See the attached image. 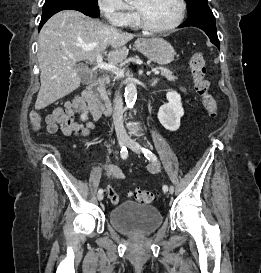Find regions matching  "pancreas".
<instances>
[{
	"instance_id": "pancreas-1",
	"label": "pancreas",
	"mask_w": 261,
	"mask_h": 273,
	"mask_svg": "<svg viewBox=\"0 0 261 273\" xmlns=\"http://www.w3.org/2000/svg\"><path fill=\"white\" fill-rule=\"evenodd\" d=\"M157 69H159V70L161 71V75L164 76V77H166L168 81L173 82V81H175V80L177 79V77L174 76V75H173V72L170 71L169 69L164 68V67H158ZM120 78H121V77L116 76V77L114 78V80H118V79H120Z\"/></svg>"
}]
</instances>
